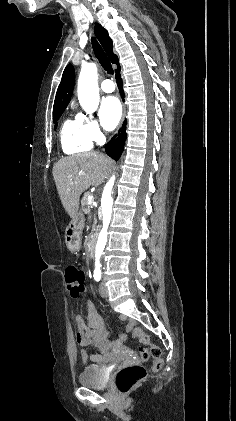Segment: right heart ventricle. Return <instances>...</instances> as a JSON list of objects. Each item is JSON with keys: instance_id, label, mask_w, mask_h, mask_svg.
Listing matches in <instances>:
<instances>
[{"instance_id": "obj_1", "label": "right heart ventricle", "mask_w": 236, "mask_h": 421, "mask_svg": "<svg viewBox=\"0 0 236 421\" xmlns=\"http://www.w3.org/2000/svg\"><path fill=\"white\" fill-rule=\"evenodd\" d=\"M93 141L85 131L81 122L75 119H66L60 130L61 148L65 154L79 155L90 151Z\"/></svg>"}]
</instances>
